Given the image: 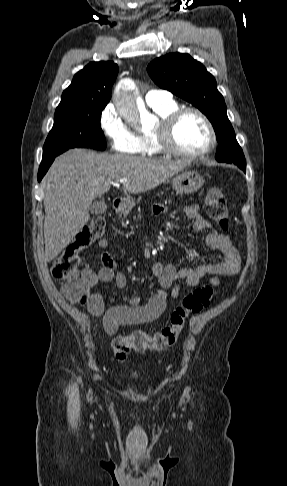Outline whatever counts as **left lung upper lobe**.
<instances>
[{
    "instance_id": "1",
    "label": "left lung upper lobe",
    "mask_w": 287,
    "mask_h": 486,
    "mask_svg": "<svg viewBox=\"0 0 287 486\" xmlns=\"http://www.w3.org/2000/svg\"><path fill=\"white\" fill-rule=\"evenodd\" d=\"M147 71L159 87L190 102L207 116L220 144L215 156L217 161L246 163L215 78L200 62L186 53H171L153 60Z\"/></svg>"
}]
</instances>
